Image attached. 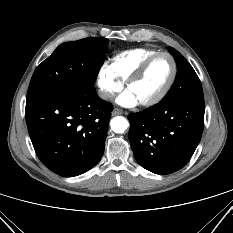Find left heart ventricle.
Wrapping results in <instances>:
<instances>
[{"label":"left heart ventricle","mask_w":233,"mask_h":233,"mask_svg":"<svg viewBox=\"0 0 233 233\" xmlns=\"http://www.w3.org/2000/svg\"><path fill=\"white\" fill-rule=\"evenodd\" d=\"M172 74V63L166 56L156 59L148 68L145 75L132 84L128 90L137 100L144 101L155 96L167 84Z\"/></svg>","instance_id":"left-heart-ventricle-1"}]
</instances>
